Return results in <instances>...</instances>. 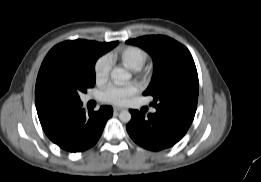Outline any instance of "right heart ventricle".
I'll list each match as a JSON object with an SVG mask.
<instances>
[{"mask_svg":"<svg viewBox=\"0 0 261 182\" xmlns=\"http://www.w3.org/2000/svg\"><path fill=\"white\" fill-rule=\"evenodd\" d=\"M118 58L127 68L136 70L145 64L148 54L143 48L130 45L119 50Z\"/></svg>","mask_w":261,"mask_h":182,"instance_id":"right-heart-ventricle-1","label":"right heart ventricle"}]
</instances>
